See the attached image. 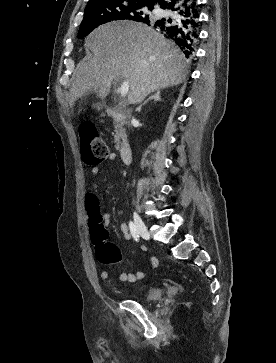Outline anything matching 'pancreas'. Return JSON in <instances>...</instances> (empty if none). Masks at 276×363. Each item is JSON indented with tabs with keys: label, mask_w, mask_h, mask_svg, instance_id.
Instances as JSON below:
<instances>
[{
	"label": "pancreas",
	"mask_w": 276,
	"mask_h": 363,
	"mask_svg": "<svg viewBox=\"0 0 276 363\" xmlns=\"http://www.w3.org/2000/svg\"><path fill=\"white\" fill-rule=\"evenodd\" d=\"M114 128H115L114 142L116 143V148H119L121 139L125 138V130L123 128V123L122 122L115 123Z\"/></svg>",
	"instance_id": "obj_1"
}]
</instances>
